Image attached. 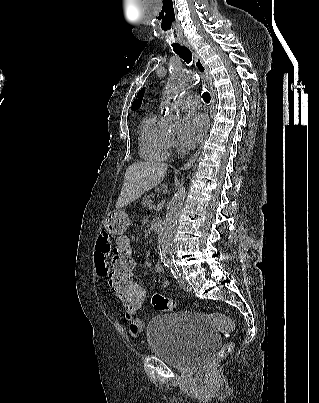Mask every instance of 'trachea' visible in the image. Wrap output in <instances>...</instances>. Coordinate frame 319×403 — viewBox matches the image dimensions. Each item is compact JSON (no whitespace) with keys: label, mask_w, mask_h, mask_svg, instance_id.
Listing matches in <instances>:
<instances>
[{"label":"trachea","mask_w":319,"mask_h":403,"mask_svg":"<svg viewBox=\"0 0 319 403\" xmlns=\"http://www.w3.org/2000/svg\"><path fill=\"white\" fill-rule=\"evenodd\" d=\"M162 29L168 35V38L172 41V47L176 54H178L186 63H191L192 61V52L185 46H181L177 42H173L175 38L174 31L172 30V21H166L162 24ZM203 100L206 103L210 102V94L206 91L202 95Z\"/></svg>","instance_id":"trachea-1"}]
</instances>
